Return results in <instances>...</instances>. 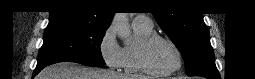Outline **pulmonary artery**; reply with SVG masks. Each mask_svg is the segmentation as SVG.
Wrapping results in <instances>:
<instances>
[{
  "instance_id": "1",
  "label": "pulmonary artery",
  "mask_w": 255,
  "mask_h": 79,
  "mask_svg": "<svg viewBox=\"0 0 255 79\" xmlns=\"http://www.w3.org/2000/svg\"><path fill=\"white\" fill-rule=\"evenodd\" d=\"M133 25L135 26H142L145 28H151L152 27V22L151 20L143 14L135 16L132 22Z\"/></svg>"
}]
</instances>
